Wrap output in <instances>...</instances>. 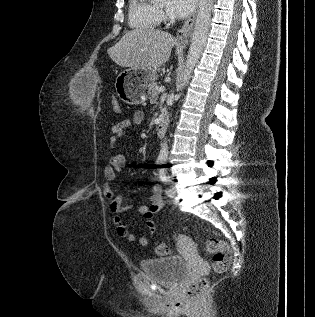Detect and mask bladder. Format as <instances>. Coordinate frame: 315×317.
<instances>
[{"label":"bladder","mask_w":315,"mask_h":317,"mask_svg":"<svg viewBox=\"0 0 315 317\" xmlns=\"http://www.w3.org/2000/svg\"><path fill=\"white\" fill-rule=\"evenodd\" d=\"M141 268L156 282L170 287L180 284L188 273V263L179 256L145 259Z\"/></svg>","instance_id":"bladder-1"}]
</instances>
